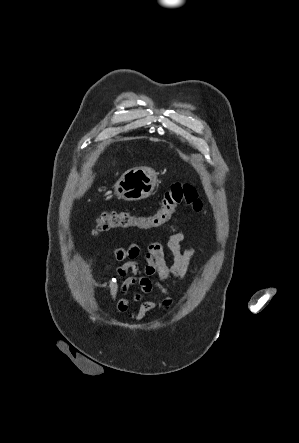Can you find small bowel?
Here are the masks:
<instances>
[{
  "label": "small bowel",
  "instance_id": "small-bowel-1",
  "mask_svg": "<svg viewBox=\"0 0 299 443\" xmlns=\"http://www.w3.org/2000/svg\"><path fill=\"white\" fill-rule=\"evenodd\" d=\"M185 234L177 226L169 227V237L167 248L171 253L173 262L167 264L164 255L163 244L159 241H152L144 255L145 265L142 267L137 262L141 255V248L136 243H131L126 248H114L113 257L121 265L115 268V274L123 278L121 284H110V295L115 302L119 312H127L132 304H138V309L129 314L133 320L143 319L152 310L163 307L168 309L172 303L169 296L170 288L177 281H184L190 262L195 254V248L188 246L182 249V242ZM105 270H108L106 266ZM173 279V282H169ZM138 286L139 291L131 296H126L131 287ZM154 290L160 292L164 297L160 301L157 297L144 299L145 295Z\"/></svg>",
  "mask_w": 299,
  "mask_h": 443
}]
</instances>
